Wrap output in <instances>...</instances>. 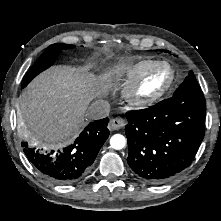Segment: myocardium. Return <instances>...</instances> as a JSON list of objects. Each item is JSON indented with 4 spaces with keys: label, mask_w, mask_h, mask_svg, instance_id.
Here are the masks:
<instances>
[{
    "label": "myocardium",
    "mask_w": 221,
    "mask_h": 221,
    "mask_svg": "<svg viewBox=\"0 0 221 221\" xmlns=\"http://www.w3.org/2000/svg\"><path fill=\"white\" fill-rule=\"evenodd\" d=\"M157 73L164 74V81L157 87L145 90L149 79ZM175 80L174 69L164 62H154L138 77L133 79L125 90L127 101L137 108L150 106L164 96L172 87Z\"/></svg>",
    "instance_id": "1"
}]
</instances>
